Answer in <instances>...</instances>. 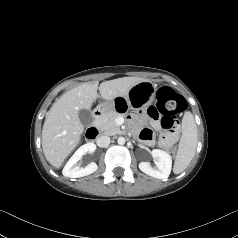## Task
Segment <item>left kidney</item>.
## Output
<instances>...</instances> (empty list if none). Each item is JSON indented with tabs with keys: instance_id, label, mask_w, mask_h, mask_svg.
Wrapping results in <instances>:
<instances>
[{
	"instance_id": "1",
	"label": "left kidney",
	"mask_w": 238,
	"mask_h": 238,
	"mask_svg": "<svg viewBox=\"0 0 238 238\" xmlns=\"http://www.w3.org/2000/svg\"><path fill=\"white\" fill-rule=\"evenodd\" d=\"M151 155L156 159V167L152 168L150 163L141 162L139 163V169L145 174L158 179H167L170 175L172 168L171 156L160 149H153Z\"/></svg>"
}]
</instances>
